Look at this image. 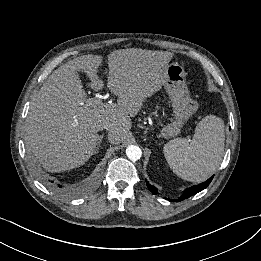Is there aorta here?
I'll return each mask as SVG.
<instances>
[{
  "instance_id": "aorta-1",
  "label": "aorta",
  "mask_w": 261,
  "mask_h": 261,
  "mask_svg": "<svg viewBox=\"0 0 261 261\" xmlns=\"http://www.w3.org/2000/svg\"><path fill=\"white\" fill-rule=\"evenodd\" d=\"M126 155L131 161H137L142 156L141 149L136 145H130L126 148Z\"/></svg>"
}]
</instances>
